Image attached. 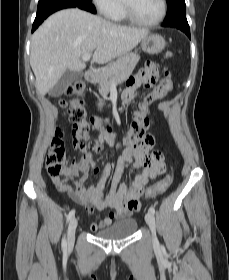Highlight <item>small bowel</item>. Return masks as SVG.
Masks as SVG:
<instances>
[{"label":"small bowel","mask_w":229,"mask_h":280,"mask_svg":"<svg viewBox=\"0 0 229 280\" xmlns=\"http://www.w3.org/2000/svg\"><path fill=\"white\" fill-rule=\"evenodd\" d=\"M159 78V70L155 65H147L143 67L137 74L127 80L126 88L122 98L125 102H132L140 89L154 85ZM171 82V81H169ZM167 94L162 90L161 85L157 86L153 92L148 95L145 100L140 103L139 111L145 115L148 114L149 105L153 101L162 99ZM150 97V98H148ZM97 140L100 143L114 144L115 137L105 129L97 130ZM155 143L153 134H147L146 138L136 146H129L125 149L123 155L118 160L117 167L112 176V188L109 194H105L104 186L108 178L111 176V167L109 164L99 166L93 159L92 153L87 152L73 167L68 169V175L73 179L77 189L75 192H67L77 204L86 208L89 213L95 209L105 210L111 209L100 222L92 225V230H103L110 226L117 218H126L140 209L131 206L133 199H139L140 191L145 187L149 180L154 179L156 174L148 169H142L144 159L148 156L151 148ZM130 163L138 172L128 186L125 183H119L123 174L124 166ZM89 170L99 174L100 179L97 185L83 187L84 181L88 177Z\"/></svg>","instance_id":"c3829d8e"}]
</instances>
